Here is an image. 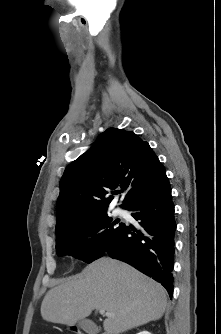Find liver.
<instances>
[{"label":"liver","mask_w":221,"mask_h":334,"mask_svg":"<svg viewBox=\"0 0 221 334\" xmlns=\"http://www.w3.org/2000/svg\"><path fill=\"white\" fill-rule=\"evenodd\" d=\"M166 306V291L159 283L124 262L102 257L50 289L41 316L72 326L94 309H104L112 314L103 322L104 334H120L159 320Z\"/></svg>","instance_id":"liver-1"}]
</instances>
